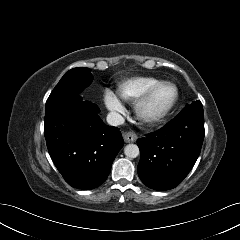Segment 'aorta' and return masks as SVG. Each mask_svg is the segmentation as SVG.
Listing matches in <instances>:
<instances>
[{
    "mask_svg": "<svg viewBox=\"0 0 240 240\" xmlns=\"http://www.w3.org/2000/svg\"><path fill=\"white\" fill-rule=\"evenodd\" d=\"M140 151L136 144H128L124 148V154L128 158H136L139 155Z\"/></svg>",
    "mask_w": 240,
    "mask_h": 240,
    "instance_id": "1",
    "label": "aorta"
}]
</instances>
